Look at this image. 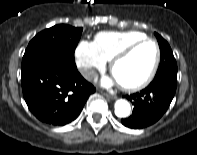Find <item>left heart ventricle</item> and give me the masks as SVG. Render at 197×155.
Masks as SVG:
<instances>
[{
  "label": "left heart ventricle",
  "instance_id": "b2bd125f",
  "mask_svg": "<svg viewBox=\"0 0 197 155\" xmlns=\"http://www.w3.org/2000/svg\"><path fill=\"white\" fill-rule=\"evenodd\" d=\"M156 56L152 43H144L127 57L116 63L113 76L118 83L133 85L142 81L149 73Z\"/></svg>",
  "mask_w": 197,
  "mask_h": 155
}]
</instances>
